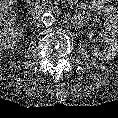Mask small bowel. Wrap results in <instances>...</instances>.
<instances>
[{
    "label": "small bowel",
    "instance_id": "c3829d8e",
    "mask_svg": "<svg viewBox=\"0 0 118 118\" xmlns=\"http://www.w3.org/2000/svg\"><path fill=\"white\" fill-rule=\"evenodd\" d=\"M107 2L108 0H92L91 7L93 10H102L112 20V27L118 32V8Z\"/></svg>",
    "mask_w": 118,
    "mask_h": 118
}]
</instances>
